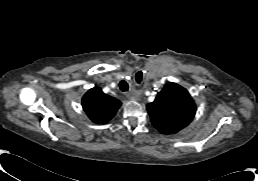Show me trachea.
<instances>
[{
    "instance_id": "3493384b",
    "label": "trachea",
    "mask_w": 258,
    "mask_h": 181,
    "mask_svg": "<svg viewBox=\"0 0 258 181\" xmlns=\"http://www.w3.org/2000/svg\"><path fill=\"white\" fill-rule=\"evenodd\" d=\"M119 87L122 91H128L129 89L128 83L125 80L120 81Z\"/></svg>"
}]
</instances>
